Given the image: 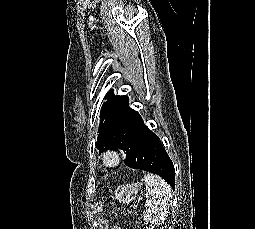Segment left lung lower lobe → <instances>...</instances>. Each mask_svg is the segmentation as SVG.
Returning <instances> with one entry per match:
<instances>
[{
	"instance_id": "0a47b994",
	"label": "left lung lower lobe",
	"mask_w": 255,
	"mask_h": 229,
	"mask_svg": "<svg viewBox=\"0 0 255 229\" xmlns=\"http://www.w3.org/2000/svg\"><path fill=\"white\" fill-rule=\"evenodd\" d=\"M110 125L129 139L125 165L153 172L175 189L174 166L159 137L145 126L139 113L129 107L126 99L112 113Z\"/></svg>"
}]
</instances>
